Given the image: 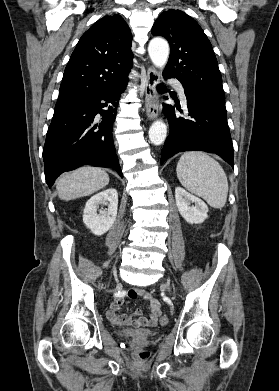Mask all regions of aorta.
I'll list each match as a JSON object with an SVG mask.
<instances>
[{
    "mask_svg": "<svg viewBox=\"0 0 279 391\" xmlns=\"http://www.w3.org/2000/svg\"><path fill=\"white\" fill-rule=\"evenodd\" d=\"M148 52L152 63L158 68H164L169 57V44L162 38H154L150 41ZM167 135L166 124L162 120L153 122L149 129V139L152 144H162Z\"/></svg>",
    "mask_w": 279,
    "mask_h": 391,
    "instance_id": "762f6f07",
    "label": "aorta"
}]
</instances>
